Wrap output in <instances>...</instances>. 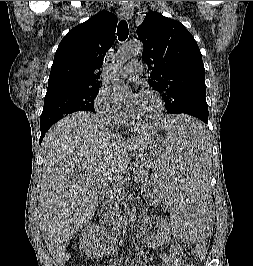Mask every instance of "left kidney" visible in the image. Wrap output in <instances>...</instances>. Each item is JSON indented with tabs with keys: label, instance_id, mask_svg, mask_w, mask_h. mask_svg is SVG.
<instances>
[{
	"label": "left kidney",
	"instance_id": "1",
	"mask_svg": "<svg viewBox=\"0 0 253 266\" xmlns=\"http://www.w3.org/2000/svg\"><path fill=\"white\" fill-rule=\"evenodd\" d=\"M156 225L160 230L149 234L145 229H140V237L142 241L149 247L156 248L168 243L171 239L169 224L161 217H156Z\"/></svg>",
	"mask_w": 253,
	"mask_h": 266
}]
</instances>
